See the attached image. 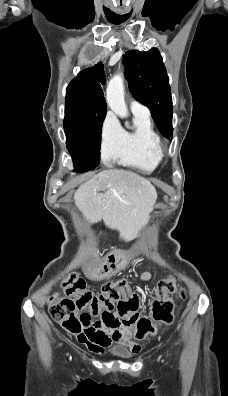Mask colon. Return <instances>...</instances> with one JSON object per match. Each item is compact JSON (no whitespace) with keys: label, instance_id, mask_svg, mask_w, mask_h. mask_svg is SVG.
Returning <instances> with one entry per match:
<instances>
[{"label":"colon","instance_id":"5ec220e1","mask_svg":"<svg viewBox=\"0 0 228 396\" xmlns=\"http://www.w3.org/2000/svg\"><path fill=\"white\" fill-rule=\"evenodd\" d=\"M62 285L72 298L52 297L50 315L74 334L81 333L85 326L91 325L111 329L128 328L134 330L138 339H142L154 335L158 325L170 324L174 318L176 304L169 296L176 290L172 277L162 279L157 284L152 319L137 314L139 296L126 280L105 283L101 293L93 294L86 289L81 277L68 271L62 276ZM181 296L185 297L184 292H181Z\"/></svg>","mask_w":228,"mask_h":396}]
</instances>
